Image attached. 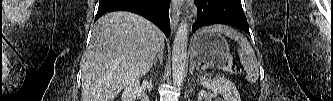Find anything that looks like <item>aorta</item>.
Returning a JSON list of instances; mask_svg holds the SVG:
<instances>
[{"label": "aorta", "instance_id": "762f6f07", "mask_svg": "<svg viewBox=\"0 0 333 101\" xmlns=\"http://www.w3.org/2000/svg\"><path fill=\"white\" fill-rule=\"evenodd\" d=\"M188 25L182 22L175 35L172 48V75L175 86L180 87L184 80L187 57Z\"/></svg>", "mask_w": 333, "mask_h": 101}]
</instances>
